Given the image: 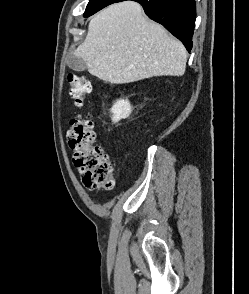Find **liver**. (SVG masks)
Listing matches in <instances>:
<instances>
[{
    "mask_svg": "<svg viewBox=\"0 0 249 294\" xmlns=\"http://www.w3.org/2000/svg\"><path fill=\"white\" fill-rule=\"evenodd\" d=\"M74 55L86 62L90 74L113 84L162 75L179 77L187 62L184 45L147 19L142 6L133 1L98 12Z\"/></svg>",
    "mask_w": 249,
    "mask_h": 294,
    "instance_id": "6515ba94",
    "label": "liver"
}]
</instances>
